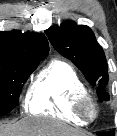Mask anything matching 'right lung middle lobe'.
<instances>
[{
  "label": "right lung middle lobe",
  "mask_w": 117,
  "mask_h": 136,
  "mask_svg": "<svg viewBox=\"0 0 117 136\" xmlns=\"http://www.w3.org/2000/svg\"><path fill=\"white\" fill-rule=\"evenodd\" d=\"M41 60L43 58L27 62L0 60V111L16 107L23 85Z\"/></svg>",
  "instance_id": "obj_1"
}]
</instances>
